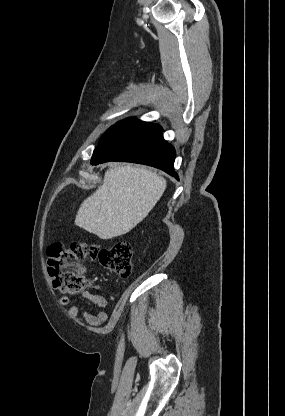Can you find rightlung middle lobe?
<instances>
[{
  "mask_svg": "<svg viewBox=\"0 0 285 416\" xmlns=\"http://www.w3.org/2000/svg\"><path fill=\"white\" fill-rule=\"evenodd\" d=\"M140 122L136 118H127L125 120H122L118 122L117 124L111 126L107 132L104 134V136L101 138L100 143L107 140L108 138L112 137L113 135L117 134L118 132Z\"/></svg>",
  "mask_w": 285,
  "mask_h": 416,
  "instance_id": "1",
  "label": "right lung middle lobe"
}]
</instances>
